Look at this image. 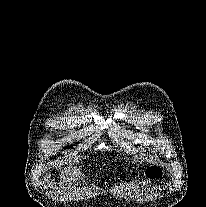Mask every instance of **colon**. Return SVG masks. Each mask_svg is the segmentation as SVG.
<instances>
[{
  "instance_id": "obj_1",
  "label": "colon",
  "mask_w": 206,
  "mask_h": 207,
  "mask_svg": "<svg viewBox=\"0 0 206 207\" xmlns=\"http://www.w3.org/2000/svg\"><path fill=\"white\" fill-rule=\"evenodd\" d=\"M162 176V170L158 167L148 168L142 175V178H147L151 180L158 179Z\"/></svg>"
}]
</instances>
